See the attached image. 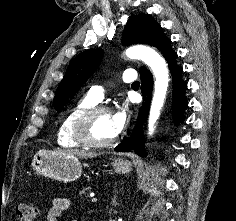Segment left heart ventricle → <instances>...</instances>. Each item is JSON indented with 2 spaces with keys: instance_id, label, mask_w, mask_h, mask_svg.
I'll return each mask as SVG.
<instances>
[{
  "instance_id": "b2bd125f",
  "label": "left heart ventricle",
  "mask_w": 236,
  "mask_h": 221,
  "mask_svg": "<svg viewBox=\"0 0 236 221\" xmlns=\"http://www.w3.org/2000/svg\"><path fill=\"white\" fill-rule=\"evenodd\" d=\"M91 133L99 141H106L115 137L112 114L107 112L99 114L92 124Z\"/></svg>"
}]
</instances>
